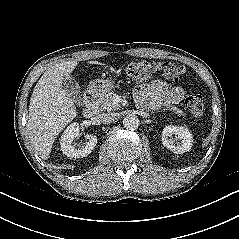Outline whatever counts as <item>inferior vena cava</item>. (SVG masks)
I'll return each instance as SVG.
<instances>
[{"label":"inferior vena cava","instance_id":"602c4592","mask_svg":"<svg viewBox=\"0 0 239 239\" xmlns=\"http://www.w3.org/2000/svg\"><path fill=\"white\" fill-rule=\"evenodd\" d=\"M117 114L114 112L103 113L99 115V120L104 124L112 123L116 120Z\"/></svg>","mask_w":239,"mask_h":239}]
</instances>
